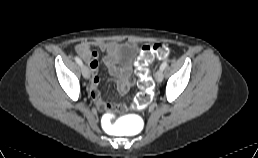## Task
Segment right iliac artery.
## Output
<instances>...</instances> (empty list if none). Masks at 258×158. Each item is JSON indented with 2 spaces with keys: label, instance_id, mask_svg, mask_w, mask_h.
<instances>
[{
  "label": "right iliac artery",
  "instance_id": "obj_1",
  "mask_svg": "<svg viewBox=\"0 0 258 158\" xmlns=\"http://www.w3.org/2000/svg\"><path fill=\"white\" fill-rule=\"evenodd\" d=\"M75 61L80 65V66H82L83 65V63H82V60L79 58V57H75Z\"/></svg>",
  "mask_w": 258,
  "mask_h": 158
}]
</instances>
